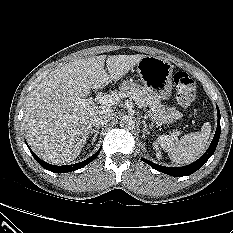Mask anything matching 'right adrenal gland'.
Segmentation results:
<instances>
[{
	"mask_svg": "<svg viewBox=\"0 0 233 233\" xmlns=\"http://www.w3.org/2000/svg\"><path fill=\"white\" fill-rule=\"evenodd\" d=\"M99 129H100V127H96L95 129H90V131H89V134L94 135L93 139H92V145L96 141V138H97V136L99 134Z\"/></svg>",
	"mask_w": 233,
	"mask_h": 233,
	"instance_id": "right-adrenal-gland-1",
	"label": "right adrenal gland"
}]
</instances>
